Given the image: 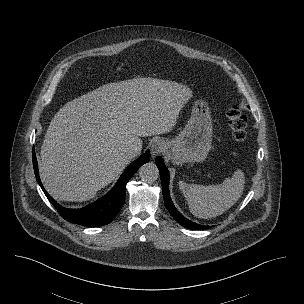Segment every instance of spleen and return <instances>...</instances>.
<instances>
[{"label":"spleen","mask_w":304,"mask_h":304,"mask_svg":"<svg viewBox=\"0 0 304 304\" xmlns=\"http://www.w3.org/2000/svg\"><path fill=\"white\" fill-rule=\"evenodd\" d=\"M244 174L237 170L232 178L219 185H196L181 183L180 188L188 202L191 213L199 218H213L231 208L242 196Z\"/></svg>","instance_id":"obj_1"}]
</instances>
